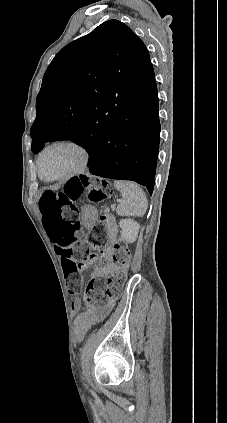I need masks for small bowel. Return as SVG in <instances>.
I'll list each match as a JSON object with an SVG mask.
<instances>
[{"label": "small bowel", "instance_id": "obj_1", "mask_svg": "<svg viewBox=\"0 0 227 423\" xmlns=\"http://www.w3.org/2000/svg\"><path fill=\"white\" fill-rule=\"evenodd\" d=\"M57 251V245L55 244ZM111 248L108 247L102 250V255L109 260V262L101 268L95 271V275L98 277H104L108 274H112L116 270V265L111 261ZM114 306V301H109L103 308L98 311H92L91 313L82 314L75 319V333L78 339L84 338L89 329L102 321L110 313ZM81 308V301L79 299H73L71 302V309L75 312Z\"/></svg>", "mask_w": 227, "mask_h": 423}]
</instances>
